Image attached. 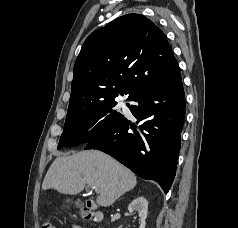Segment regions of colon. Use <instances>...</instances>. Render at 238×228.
<instances>
[{
	"instance_id": "obj_1",
	"label": "colon",
	"mask_w": 238,
	"mask_h": 228,
	"mask_svg": "<svg viewBox=\"0 0 238 228\" xmlns=\"http://www.w3.org/2000/svg\"><path fill=\"white\" fill-rule=\"evenodd\" d=\"M81 218L85 220H91L93 217L92 212L89 209H83L80 211ZM41 228H56V226L51 222H44Z\"/></svg>"
}]
</instances>
